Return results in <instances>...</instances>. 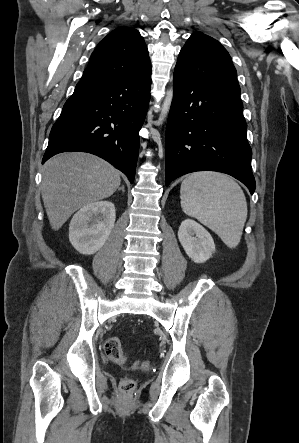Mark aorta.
I'll use <instances>...</instances> for the list:
<instances>
[{
	"mask_svg": "<svg viewBox=\"0 0 299 443\" xmlns=\"http://www.w3.org/2000/svg\"><path fill=\"white\" fill-rule=\"evenodd\" d=\"M172 100H173V88H170L166 93V97L161 107L159 124H162V122L166 119L171 107Z\"/></svg>",
	"mask_w": 299,
	"mask_h": 443,
	"instance_id": "1",
	"label": "aorta"
}]
</instances>
